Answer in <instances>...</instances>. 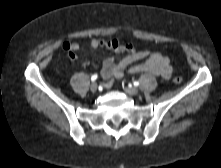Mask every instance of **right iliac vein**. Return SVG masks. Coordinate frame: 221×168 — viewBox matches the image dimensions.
<instances>
[{"label": "right iliac vein", "instance_id": "63e3f726", "mask_svg": "<svg viewBox=\"0 0 221 168\" xmlns=\"http://www.w3.org/2000/svg\"><path fill=\"white\" fill-rule=\"evenodd\" d=\"M97 89H98L97 84H96V83H92L91 86H90V90H91L92 92H96Z\"/></svg>", "mask_w": 221, "mask_h": 168}]
</instances>
